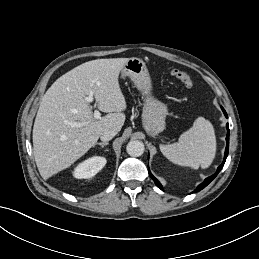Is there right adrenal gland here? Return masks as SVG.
Segmentation results:
<instances>
[{
    "label": "right adrenal gland",
    "mask_w": 259,
    "mask_h": 259,
    "mask_svg": "<svg viewBox=\"0 0 259 259\" xmlns=\"http://www.w3.org/2000/svg\"><path fill=\"white\" fill-rule=\"evenodd\" d=\"M95 145H99L102 148H104L106 145H108V142H100V143H96Z\"/></svg>",
    "instance_id": "obj_1"
}]
</instances>
